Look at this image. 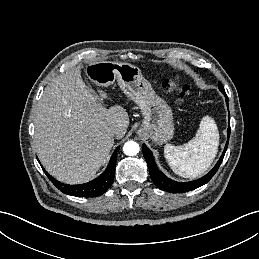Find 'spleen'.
<instances>
[{"instance_id":"3e777b00","label":"spleen","mask_w":259,"mask_h":259,"mask_svg":"<svg viewBox=\"0 0 259 259\" xmlns=\"http://www.w3.org/2000/svg\"><path fill=\"white\" fill-rule=\"evenodd\" d=\"M219 145V131L213 118L204 116L193 139L180 146L166 144L164 156L173 172L184 178H196L213 162Z\"/></svg>"}]
</instances>
